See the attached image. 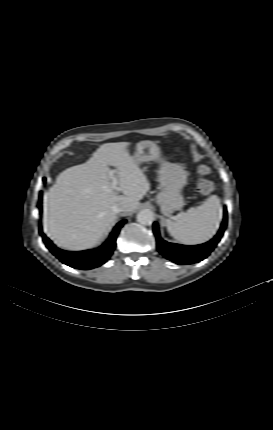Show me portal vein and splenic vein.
Instances as JSON below:
<instances>
[{
	"instance_id": "portal-vein-and-splenic-vein-1",
	"label": "portal vein and splenic vein",
	"mask_w": 273,
	"mask_h": 430,
	"mask_svg": "<svg viewBox=\"0 0 273 430\" xmlns=\"http://www.w3.org/2000/svg\"><path fill=\"white\" fill-rule=\"evenodd\" d=\"M114 170H112V171H110V173H109V177H110V179H111V181H112V187H113V189L114 190H116V191H120L121 190V188L120 187H118L117 185H118V180H117V178L114 176Z\"/></svg>"
}]
</instances>
